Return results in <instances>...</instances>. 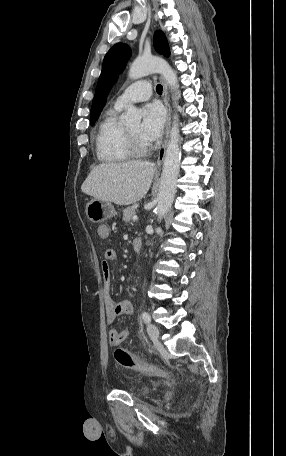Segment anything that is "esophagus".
Segmentation results:
<instances>
[{
	"instance_id": "34e87169",
	"label": "esophagus",
	"mask_w": 286,
	"mask_h": 456,
	"mask_svg": "<svg viewBox=\"0 0 286 456\" xmlns=\"http://www.w3.org/2000/svg\"><path fill=\"white\" fill-rule=\"evenodd\" d=\"M161 81L163 84V101L167 110V122H166V134L165 140L159 150L158 157H157V166H161L164 161L165 153H166V146L169 137L170 125H171V109L168 101V91H167V84L165 83L164 79L161 77Z\"/></svg>"
}]
</instances>
